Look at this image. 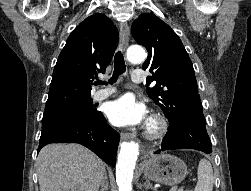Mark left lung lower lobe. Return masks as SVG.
Segmentation results:
<instances>
[{
  "instance_id": "1",
  "label": "left lung lower lobe",
  "mask_w": 251,
  "mask_h": 191,
  "mask_svg": "<svg viewBox=\"0 0 251 191\" xmlns=\"http://www.w3.org/2000/svg\"><path fill=\"white\" fill-rule=\"evenodd\" d=\"M195 149L205 153L212 152V145L206 131V123L189 119L169 129L165 135L161 150ZM160 150L155 153H159Z\"/></svg>"
}]
</instances>
